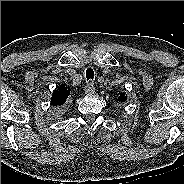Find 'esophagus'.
<instances>
[{
  "label": "esophagus",
  "mask_w": 184,
  "mask_h": 184,
  "mask_svg": "<svg viewBox=\"0 0 184 184\" xmlns=\"http://www.w3.org/2000/svg\"><path fill=\"white\" fill-rule=\"evenodd\" d=\"M86 94H93L95 92V87L93 82L89 81L84 88Z\"/></svg>",
  "instance_id": "obj_1"
}]
</instances>
